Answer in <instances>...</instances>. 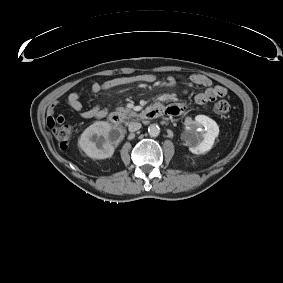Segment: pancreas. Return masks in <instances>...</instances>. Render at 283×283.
I'll use <instances>...</instances> for the list:
<instances>
[{
    "label": "pancreas",
    "instance_id": "cf45deb5",
    "mask_svg": "<svg viewBox=\"0 0 283 283\" xmlns=\"http://www.w3.org/2000/svg\"><path fill=\"white\" fill-rule=\"evenodd\" d=\"M117 113L120 114V115H130L132 117H136L138 116L136 112L132 111L131 109L129 108H124V107H118L116 109Z\"/></svg>",
    "mask_w": 283,
    "mask_h": 283
}]
</instances>
